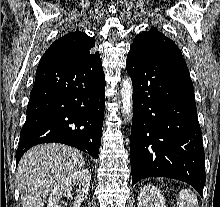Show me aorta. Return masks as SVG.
Segmentation results:
<instances>
[{
  "instance_id": "obj_1",
  "label": "aorta",
  "mask_w": 220,
  "mask_h": 207,
  "mask_svg": "<svg viewBox=\"0 0 220 207\" xmlns=\"http://www.w3.org/2000/svg\"><path fill=\"white\" fill-rule=\"evenodd\" d=\"M122 112L127 121L131 119L133 109V84L130 77L123 79L121 84Z\"/></svg>"
}]
</instances>
